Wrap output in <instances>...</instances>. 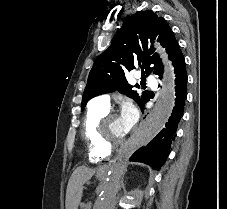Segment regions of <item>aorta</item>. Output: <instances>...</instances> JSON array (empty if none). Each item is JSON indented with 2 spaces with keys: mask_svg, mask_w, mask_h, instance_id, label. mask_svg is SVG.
Segmentation results:
<instances>
[{
  "mask_svg": "<svg viewBox=\"0 0 227 209\" xmlns=\"http://www.w3.org/2000/svg\"><path fill=\"white\" fill-rule=\"evenodd\" d=\"M154 47L164 66L160 96L134 141L124 147L111 164L101 193L99 209H113L120 179L129 158L137 148L149 143L163 129L172 113L176 98L174 68L165 49L157 42L154 43Z\"/></svg>",
  "mask_w": 227,
  "mask_h": 209,
  "instance_id": "aorta-1",
  "label": "aorta"
}]
</instances>
